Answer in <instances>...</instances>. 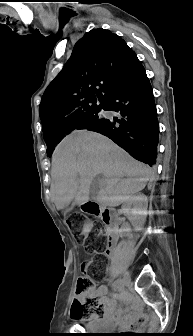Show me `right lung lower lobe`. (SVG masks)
<instances>
[{
	"label": "right lung lower lobe",
	"instance_id": "obj_1",
	"mask_svg": "<svg viewBox=\"0 0 193 336\" xmlns=\"http://www.w3.org/2000/svg\"><path fill=\"white\" fill-rule=\"evenodd\" d=\"M120 115L107 119L101 133L139 161L155 165L159 125L154 96L139 61L118 83L105 107Z\"/></svg>",
	"mask_w": 193,
	"mask_h": 336
}]
</instances>
